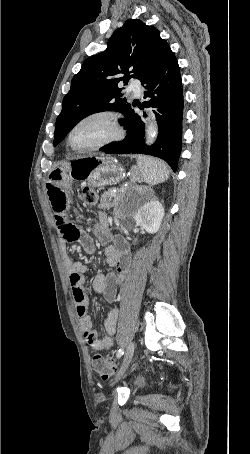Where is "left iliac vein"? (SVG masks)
I'll return each instance as SVG.
<instances>
[{"label": "left iliac vein", "mask_w": 250, "mask_h": 454, "mask_svg": "<svg viewBox=\"0 0 250 454\" xmlns=\"http://www.w3.org/2000/svg\"><path fill=\"white\" fill-rule=\"evenodd\" d=\"M134 349H135V343L130 342L129 345L127 346V349H126V352H125V355L123 358L122 366H121L118 374L115 377V381H114L115 383L117 381H119L121 379V377L124 375V373L126 372L128 366L132 360Z\"/></svg>", "instance_id": "1"}]
</instances>
